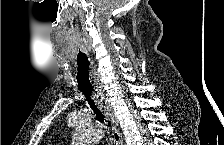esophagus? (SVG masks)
Here are the masks:
<instances>
[{
    "instance_id": "34e87169",
    "label": "esophagus",
    "mask_w": 224,
    "mask_h": 145,
    "mask_svg": "<svg viewBox=\"0 0 224 145\" xmlns=\"http://www.w3.org/2000/svg\"><path fill=\"white\" fill-rule=\"evenodd\" d=\"M95 102L97 103L99 109L106 115L110 120L112 125V135L115 145H122V133L120 131L119 123L114 113L113 107L110 102L105 98L104 92L99 90L97 95L95 94Z\"/></svg>"
}]
</instances>
